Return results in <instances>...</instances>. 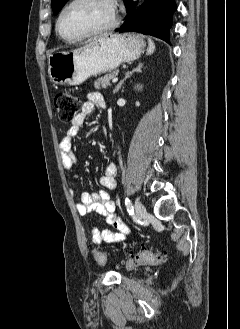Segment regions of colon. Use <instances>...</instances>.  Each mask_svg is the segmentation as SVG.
I'll return each mask as SVG.
<instances>
[{
	"instance_id": "colon-1",
	"label": "colon",
	"mask_w": 240,
	"mask_h": 329,
	"mask_svg": "<svg viewBox=\"0 0 240 329\" xmlns=\"http://www.w3.org/2000/svg\"><path fill=\"white\" fill-rule=\"evenodd\" d=\"M54 105L58 111L59 119L62 122H72L82 109V100L79 96L71 93H59L55 96ZM95 261L100 266L107 263L104 253L98 250L93 251ZM164 258L161 252L142 251L131 257L127 266L133 268L139 265H157Z\"/></svg>"
}]
</instances>
